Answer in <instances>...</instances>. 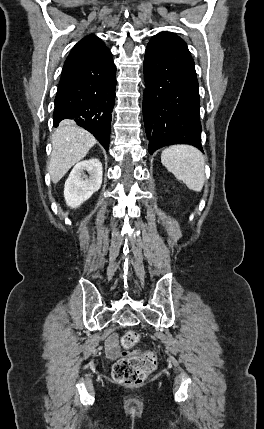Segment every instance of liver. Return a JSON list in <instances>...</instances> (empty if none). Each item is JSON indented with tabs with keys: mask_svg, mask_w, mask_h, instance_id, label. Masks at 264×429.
<instances>
[{
	"mask_svg": "<svg viewBox=\"0 0 264 429\" xmlns=\"http://www.w3.org/2000/svg\"><path fill=\"white\" fill-rule=\"evenodd\" d=\"M96 144V139L72 121H63L52 136V153L48 172L52 182L58 183L69 169L82 160Z\"/></svg>",
	"mask_w": 264,
	"mask_h": 429,
	"instance_id": "obj_1",
	"label": "liver"
}]
</instances>
